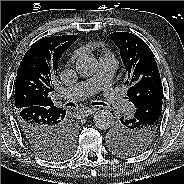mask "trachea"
<instances>
[{"label": "trachea", "instance_id": "trachea-1", "mask_svg": "<svg viewBox=\"0 0 184 184\" xmlns=\"http://www.w3.org/2000/svg\"><path fill=\"white\" fill-rule=\"evenodd\" d=\"M68 105H69V106H72V103H69ZM92 105L106 106V104L103 103V102H93Z\"/></svg>", "mask_w": 184, "mask_h": 184}]
</instances>
